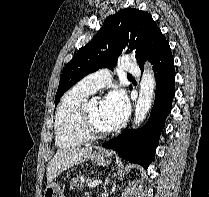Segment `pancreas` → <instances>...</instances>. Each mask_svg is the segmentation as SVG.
<instances>
[{
	"label": "pancreas",
	"instance_id": "cf45deb5",
	"mask_svg": "<svg viewBox=\"0 0 209 197\" xmlns=\"http://www.w3.org/2000/svg\"><path fill=\"white\" fill-rule=\"evenodd\" d=\"M83 189L84 188V184L82 181V176H76L74 178H72V181L70 183V189Z\"/></svg>",
	"mask_w": 209,
	"mask_h": 197
}]
</instances>
